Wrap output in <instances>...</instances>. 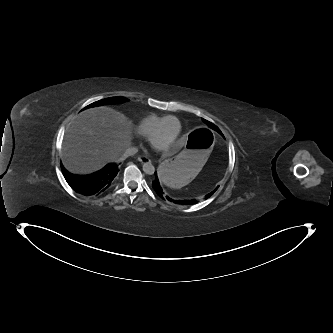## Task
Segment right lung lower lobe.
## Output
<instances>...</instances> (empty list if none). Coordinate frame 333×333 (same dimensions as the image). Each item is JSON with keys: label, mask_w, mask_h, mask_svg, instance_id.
I'll list each match as a JSON object with an SVG mask.
<instances>
[{"label": "right lung lower lobe", "mask_w": 333, "mask_h": 333, "mask_svg": "<svg viewBox=\"0 0 333 333\" xmlns=\"http://www.w3.org/2000/svg\"><path fill=\"white\" fill-rule=\"evenodd\" d=\"M62 171L72 189L81 195L91 196L106 192L113 184L119 170L115 163H110L89 175H74L64 168H62Z\"/></svg>", "instance_id": "right-lung-lower-lobe-1"}]
</instances>
